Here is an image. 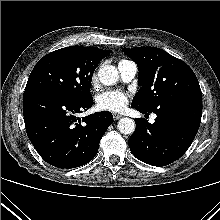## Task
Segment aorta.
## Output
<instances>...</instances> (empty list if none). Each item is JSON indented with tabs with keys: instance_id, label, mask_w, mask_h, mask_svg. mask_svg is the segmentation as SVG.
Returning a JSON list of instances; mask_svg holds the SVG:
<instances>
[{
	"instance_id": "1",
	"label": "aorta",
	"mask_w": 220,
	"mask_h": 220,
	"mask_svg": "<svg viewBox=\"0 0 220 220\" xmlns=\"http://www.w3.org/2000/svg\"><path fill=\"white\" fill-rule=\"evenodd\" d=\"M98 78L104 85H114L119 78L118 70L113 65H103L98 71ZM117 127L122 134H133L136 128L135 122L131 118H122L118 121Z\"/></svg>"
}]
</instances>
